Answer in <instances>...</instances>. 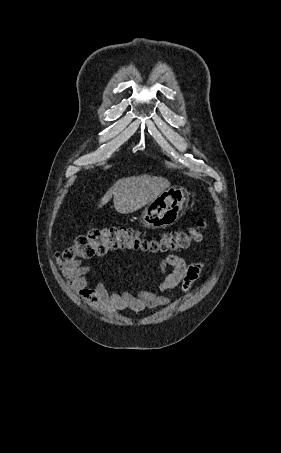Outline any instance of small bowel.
Listing matches in <instances>:
<instances>
[{
    "instance_id": "1",
    "label": "small bowel",
    "mask_w": 281,
    "mask_h": 453,
    "mask_svg": "<svg viewBox=\"0 0 281 453\" xmlns=\"http://www.w3.org/2000/svg\"><path fill=\"white\" fill-rule=\"evenodd\" d=\"M56 260L70 286L82 298L99 309L115 312H141L147 308L171 305L170 298L155 292L145 291L138 294L111 292L105 284L89 281L87 278L89 270L81 265L80 260L75 258L63 259L59 255L56 256ZM162 266H171L172 270L161 274L159 290L171 291L181 286L185 291H188L191 284L200 277L204 263L199 261L187 264L181 255L173 254L163 259Z\"/></svg>"
}]
</instances>
